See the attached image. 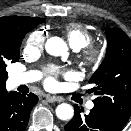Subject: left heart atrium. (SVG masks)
Segmentation results:
<instances>
[{
	"label": "left heart atrium",
	"instance_id": "obj_1",
	"mask_svg": "<svg viewBox=\"0 0 131 131\" xmlns=\"http://www.w3.org/2000/svg\"><path fill=\"white\" fill-rule=\"evenodd\" d=\"M46 85L48 86V87H53L54 85H55V79L54 78H49L48 80H47V82H46Z\"/></svg>",
	"mask_w": 131,
	"mask_h": 131
}]
</instances>
